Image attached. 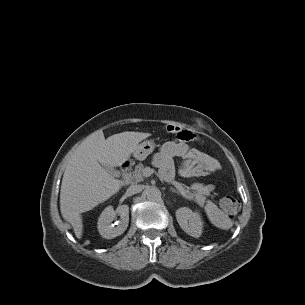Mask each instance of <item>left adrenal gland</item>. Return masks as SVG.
<instances>
[{
    "mask_svg": "<svg viewBox=\"0 0 305 305\" xmlns=\"http://www.w3.org/2000/svg\"><path fill=\"white\" fill-rule=\"evenodd\" d=\"M170 190H171L172 192L179 193V192L176 191L174 188H171Z\"/></svg>",
    "mask_w": 305,
    "mask_h": 305,
    "instance_id": "obj_1",
    "label": "left adrenal gland"
}]
</instances>
